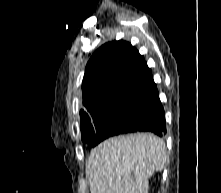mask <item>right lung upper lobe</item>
Wrapping results in <instances>:
<instances>
[{"mask_svg": "<svg viewBox=\"0 0 221 193\" xmlns=\"http://www.w3.org/2000/svg\"><path fill=\"white\" fill-rule=\"evenodd\" d=\"M82 89L83 104L90 115L124 99L150 101L158 92L143 56L121 40L108 42L94 52L86 66ZM80 117L89 115L81 111Z\"/></svg>", "mask_w": 221, "mask_h": 193, "instance_id": "cb5924a9", "label": "right lung upper lobe"}]
</instances>
